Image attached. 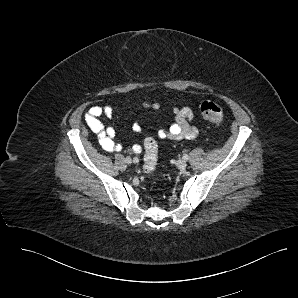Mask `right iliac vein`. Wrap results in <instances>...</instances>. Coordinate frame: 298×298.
Returning <instances> with one entry per match:
<instances>
[{"label":"right iliac vein","mask_w":298,"mask_h":298,"mask_svg":"<svg viewBox=\"0 0 298 298\" xmlns=\"http://www.w3.org/2000/svg\"><path fill=\"white\" fill-rule=\"evenodd\" d=\"M125 162H126L127 164H131V163H132V159H131L130 157H126V158H125Z\"/></svg>","instance_id":"obj_1"}]
</instances>
